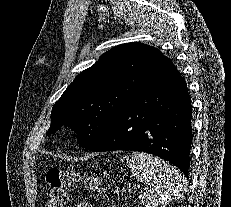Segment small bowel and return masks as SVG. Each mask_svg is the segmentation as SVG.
<instances>
[{
  "label": "small bowel",
  "mask_w": 231,
  "mask_h": 207,
  "mask_svg": "<svg viewBox=\"0 0 231 207\" xmlns=\"http://www.w3.org/2000/svg\"><path fill=\"white\" fill-rule=\"evenodd\" d=\"M76 207H93V206L87 202H80Z\"/></svg>",
  "instance_id": "small-bowel-1"
}]
</instances>
